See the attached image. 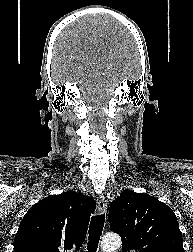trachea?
I'll list each match as a JSON object with an SVG mask.
<instances>
[{
	"mask_svg": "<svg viewBox=\"0 0 193 252\" xmlns=\"http://www.w3.org/2000/svg\"><path fill=\"white\" fill-rule=\"evenodd\" d=\"M105 222V214L95 215L91 219L88 237L89 252H96Z\"/></svg>",
	"mask_w": 193,
	"mask_h": 252,
	"instance_id": "obj_1",
	"label": "trachea"
}]
</instances>
